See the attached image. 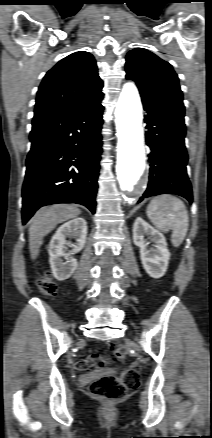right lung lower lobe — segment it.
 I'll list each match as a JSON object with an SVG mask.
<instances>
[{
	"instance_id": "right-lung-lower-lobe-1",
	"label": "right lung lower lobe",
	"mask_w": 212,
	"mask_h": 438,
	"mask_svg": "<svg viewBox=\"0 0 212 438\" xmlns=\"http://www.w3.org/2000/svg\"><path fill=\"white\" fill-rule=\"evenodd\" d=\"M103 109L99 102L33 119L22 189L23 224L37 209L54 203L82 204L95 213Z\"/></svg>"
}]
</instances>
